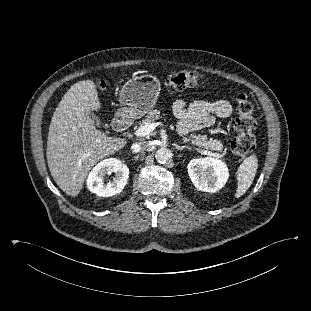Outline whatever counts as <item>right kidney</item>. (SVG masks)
Instances as JSON below:
<instances>
[{"mask_svg": "<svg viewBox=\"0 0 311 311\" xmlns=\"http://www.w3.org/2000/svg\"><path fill=\"white\" fill-rule=\"evenodd\" d=\"M114 172L115 177L112 182L104 183L106 173ZM129 178V169L120 160L108 158L99 162L89 173L87 187L97 196L109 197L120 193Z\"/></svg>", "mask_w": 311, "mask_h": 311, "instance_id": "ca27d5eb", "label": "right kidney"}]
</instances>
